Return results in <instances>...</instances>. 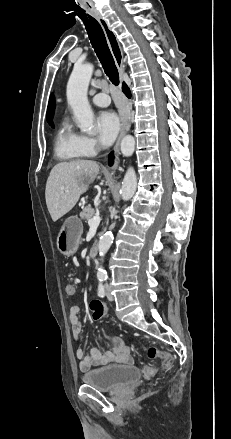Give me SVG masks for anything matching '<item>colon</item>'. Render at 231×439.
Returning a JSON list of instances; mask_svg holds the SVG:
<instances>
[{
    "label": "colon",
    "mask_w": 231,
    "mask_h": 439,
    "mask_svg": "<svg viewBox=\"0 0 231 439\" xmlns=\"http://www.w3.org/2000/svg\"><path fill=\"white\" fill-rule=\"evenodd\" d=\"M65 292L68 296H75L76 293V286L72 281H68L65 285ZM90 308L92 311L93 318L95 320L101 319L105 314V306L100 301H92L90 304ZM148 357L150 359H156L159 358L162 360V364L164 368H171L174 364V358L171 354L164 352L160 350L157 347H150L148 349ZM155 367L153 365H146L143 368V375L147 379H151L155 375Z\"/></svg>",
    "instance_id": "1"
}]
</instances>
